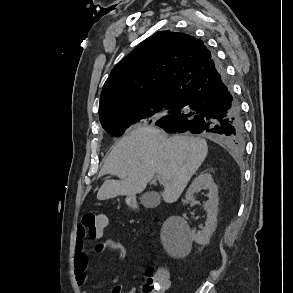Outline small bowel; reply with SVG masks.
Returning <instances> with one entry per match:
<instances>
[{
	"label": "small bowel",
	"mask_w": 293,
	"mask_h": 293,
	"mask_svg": "<svg viewBox=\"0 0 293 293\" xmlns=\"http://www.w3.org/2000/svg\"><path fill=\"white\" fill-rule=\"evenodd\" d=\"M106 251H115L119 259H124L127 256V247L120 241L112 238H104L95 244L92 252L95 254H101ZM90 261V251L86 247V237L83 234V230L80 226L77 228L75 238V251L73 257V268L76 275V279L79 285L83 286L87 282V270ZM170 286V281L168 288ZM83 293H90L84 291ZM111 293H138V290L134 287L125 290L121 284H117L112 288Z\"/></svg>",
	"instance_id": "c3829d8e"
}]
</instances>
